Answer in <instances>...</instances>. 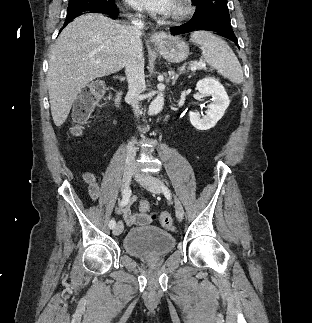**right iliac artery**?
<instances>
[{
	"label": "right iliac artery",
	"instance_id": "82829eb1",
	"mask_svg": "<svg viewBox=\"0 0 312 323\" xmlns=\"http://www.w3.org/2000/svg\"><path fill=\"white\" fill-rule=\"evenodd\" d=\"M130 194H131V190H129V189L124 190L123 197H122V200H121V203H120L121 206H125L128 203L129 198H130ZM115 224H116L115 220H111L110 223H109L110 229L114 228Z\"/></svg>",
	"mask_w": 312,
	"mask_h": 323
}]
</instances>
